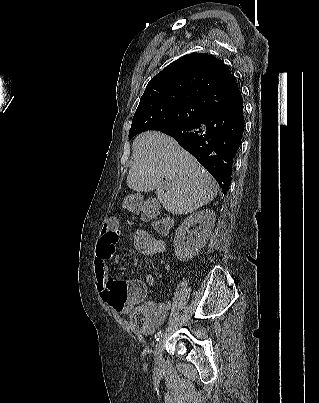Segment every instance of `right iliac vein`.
<instances>
[{"mask_svg": "<svg viewBox=\"0 0 319 403\" xmlns=\"http://www.w3.org/2000/svg\"><path fill=\"white\" fill-rule=\"evenodd\" d=\"M162 351L163 341L159 340L154 347V364L157 371L162 369Z\"/></svg>", "mask_w": 319, "mask_h": 403, "instance_id": "right-iliac-vein-1", "label": "right iliac vein"}]
</instances>
